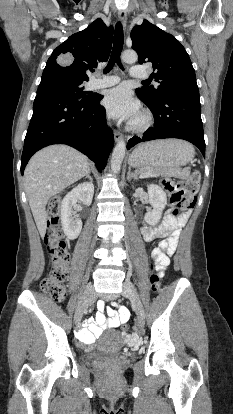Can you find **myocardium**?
I'll return each mask as SVG.
<instances>
[{"instance_id":"myocardium-1","label":"myocardium","mask_w":233,"mask_h":414,"mask_svg":"<svg viewBox=\"0 0 233 414\" xmlns=\"http://www.w3.org/2000/svg\"><path fill=\"white\" fill-rule=\"evenodd\" d=\"M153 123V117L152 115L145 111L142 112L138 118H136L134 121L130 123V129L134 132H144L146 131Z\"/></svg>"}]
</instances>
